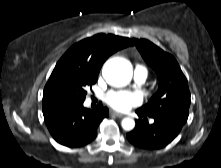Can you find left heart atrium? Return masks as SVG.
Here are the masks:
<instances>
[{"label": "left heart atrium", "instance_id": "obj_1", "mask_svg": "<svg viewBox=\"0 0 221 168\" xmlns=\"http://www.w3.org/2000/svg\"><path fill=\"white\" fill-rule=\"evenodd\" d=\"M107 104L118 111H128L141 103V96L131 91H111L105 98Z\"/></svg>", "mask_w": 221, "mask_h": 168}]
</instances>
